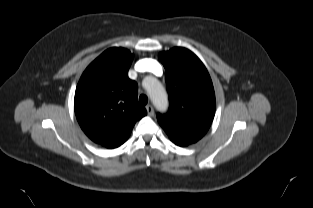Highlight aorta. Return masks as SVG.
<instances>
[{"label": "aorta", "mask_w": 313, "mask_h": 208, "mask_svg": "<svg viewBox=\"0 0 313 208\" xmlns=\"http://www.w3.org/2000/svg\"><path fill=\"white\" fill-rule=\"evenodd\" d=\"M149 81L148 92L154 106L160 110H166L168 107V96L163 86L155 78H147Z\"/></svg>", "instance_id": "1"}]
</instances>
